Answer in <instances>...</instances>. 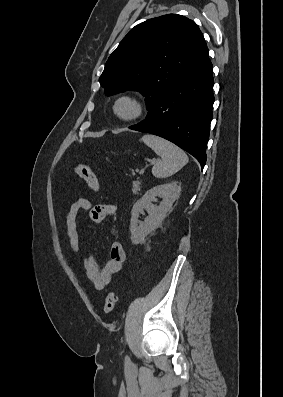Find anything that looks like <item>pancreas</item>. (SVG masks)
<instances>
[{"label":"pancreas","instance_id":"obj_1","mask_svg":"<svg viewBox=\"0 0 283 397\" xmlns=\"http://www.w3.org/2000/svg\"><path fill=\"white\" fill-rule=\"evenodd\" d=\"M140 189H141V182L139 180L134 181L132 185V192L136 194L140 191Z\"/></svg>","mask_w":283,"mask_h":397}]
</instances>
